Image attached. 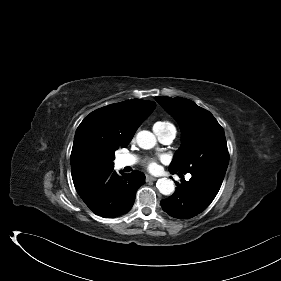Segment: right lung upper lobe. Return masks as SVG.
<instances>
[{
	"label": "right lung upper lobe",
	"mask_w": 281,
	"mask_h": 281,
	"mask_svg": "<svg viewBox=\"0 0 281 281\" xmlns=\"http://www.w3.org/2000/svg\"><path fill=\"white\" fill-rule=\"evenodd\" d=\"M155 107L152 101L127 100L99 108L81 122L71 152L75 188L113 168L114 152L130 143Z\"/></svg>",
	"instance_id": "cb5924a9"
}]
</instances>
